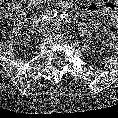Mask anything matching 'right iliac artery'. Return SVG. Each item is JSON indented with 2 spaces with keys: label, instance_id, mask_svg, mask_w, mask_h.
I'll return each instance as SVG.
<instances>
[{
  "label": "right iliac artery",
  "instance_id": "right-iliac-artery-1",
  "mask_svg": "<svg viewBox=\"0 0 118 118\" xmlns=\"http://www.w3.org/2000/svg\"><path fill=\"white\" fill-rule=\"evenodd\" d=\"M57 10L56 9H51V10H47V12L45 13V15H42V20H49L52 19L54 17L57 16Z\"/></svg>",
  "mask_w": 118,
  "mask_h": 118
}]
</instances>
